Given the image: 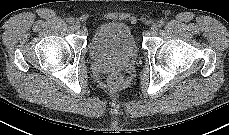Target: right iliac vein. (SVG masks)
I'll return each mask as SVG.
<instances>
[{"mask_svg":"<svg viewBox=\"0 0 229 135\" xmlns=\"http://www.w3.org/2000/svg\"><path fill=\"white\" fill-rule=\"evenodd\" d=\"M73 26L76 30H78L81 27L80 22L78 21L74 22Z\"/></svg>","mask_w":229,"mask_h":135,"instance_id":"right-iliac-vein-1","label":"right iliac vein"}]
</instances>
